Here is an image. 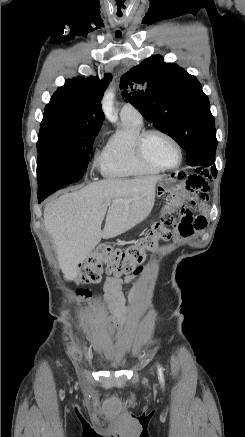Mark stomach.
I'll return each mask as SVG.
<instances>
[{
    "instance_id": "stomach-1",
    "label": "stomach",
    "mask_w": 245,
    "mask_h": 437,
    "mask_svg": "<svg viewBox=\"0 0 245 437\" xmlns=\"http://www.w3.org/2000/svg\"><path fill=\"white\" fill-rule=\"evenodd\" d=\"M185 183L184 175L180 172H174L169 175H164L157 183L156 198L158 200L164 199L167 193H171L174 188L179 187Z\"/></svg>"
}]
</instances>
